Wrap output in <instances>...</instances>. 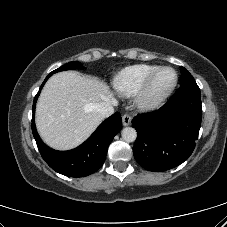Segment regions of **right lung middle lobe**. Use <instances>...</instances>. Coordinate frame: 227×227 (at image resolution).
<instances>
[{
    "mask_svg": "<svg viewBox=\"0 0 227 227\" xmlns=\"http://www.w3.org/2000/svg\"><path fill=\"white\" fill-rule=\"evenodd\" d=\"M82 68H83V66L81 65L80 62L72 61V62H69V63L61 66L60 68L54 70L51 73L53 74V73L60 72L63 70L82 69Z\"/></svg>",
    "mask_w": 227,
    "mask_h": 227,
    "instance_id": "right-lung-middle-lobe-1",
    "label": "right lung middle lobe"
}]
</instances>
